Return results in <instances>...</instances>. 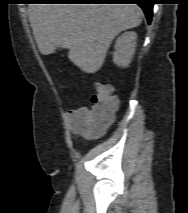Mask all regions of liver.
I'll use <instances>...</instances> for the list:
<instances>
[{
  "label": "liver",
  "mask_w": 188,
  "mask_h": 213,
  "mask_svg": "<svg viewBox=\"0 0 188 213\" xmlns=\"http://www.w3.org/2000/svg\"><path fill=\"white\" fill-rule=\"evenodd\" d=\"M28 13L40 53L69 49L70 61L86 73L102 67L120 32L142 21L136 4H31Z\"/></svg>",
  "instance_id": "6515ba94"
}]
</instances>
